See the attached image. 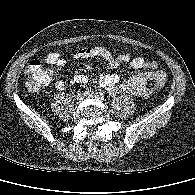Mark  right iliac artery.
<instances>
[{
	"label": "right iliac artery",
	"instance_id": "obj_1",
	"mask_svg": "<svg viewBox=\"0 0 195 195\" xmlns=\"http://www.w3.org/2000/svg\"><path fill=\"white\" fill-rule=\"evenodd\" d=\"M90 92H92V90H91V88H88V89L86 90V93L88 94V93H90Z\"/></svg>",
	"mask_w": 195,
	"mask_h": 195
}]
</instances>
